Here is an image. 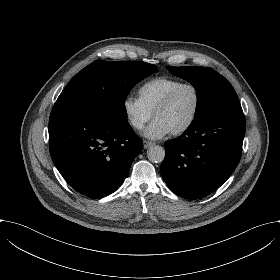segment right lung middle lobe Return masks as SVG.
<instances>
[{
	"instance_id": "right-lung-middle-lobe-1",
	"label": "right lung middle lobe",
	"mask_w": 280,
	"mask_h": 280,
	"mask_svg": "<svg viewBox=\"0 0 280 280\" xmlns=\"http://www.w3.org/2000/svg\"><path fill=\"white\" fill-rule=\"evenodd\" d=\"M158 72L155 65L130 61H95L77 73L53 109L80 110L101 119L127 121L125 100L143 78Z\"/></svg>"
}]
</instances>
